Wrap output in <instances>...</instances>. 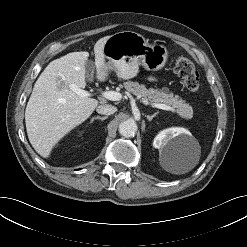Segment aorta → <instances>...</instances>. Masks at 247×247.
I'll return each instance as SVG.
<instances>
[{"label":"aorta","instance_id":"762f6f07","mask_svg":"<svg viewBox=\"0 0 247 247\" xmlns=\"http://www.w3.org/2000/svg\"><path fill=\"white\" fill-rule=\"evenodd\" d=\"M137 131V124L134 120H126L120 123L119 133L124 137H132Z\"/></svg>","mask_w":247,"mask_h":247}]
</instances>
